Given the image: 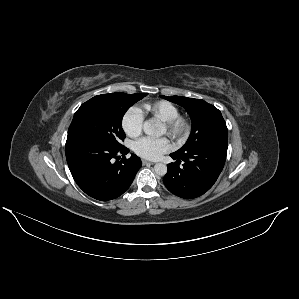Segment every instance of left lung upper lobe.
<instances>
[{"label":"left lung upper lobe","instance_id":"5c2ea615","mask_svg":"<svg viewBox=\"0 0 299 299\" xmlns=\"http://www.w3.org/2000/svg\"><path fill=\"white\" fill-rule=\"evenodd\" d=\"M160 97L185 108L192 120V131L185 145L175 154H183L203 143L217 139H228L227 126L218 110L201 99L181 96Z\"/></svg>","mask_w":299,"mask_h":299}]
</instances>
